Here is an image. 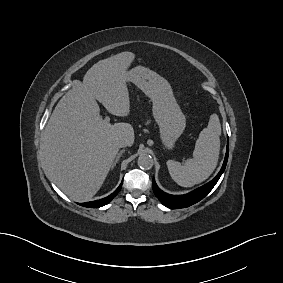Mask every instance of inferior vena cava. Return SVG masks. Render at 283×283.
I'll return each mask as SVG.
<instances>
[{"instance_id": "602c4592", "label": "inferior vena cava", "mask_w": 283, "mask_h": 283, "mask_svg": "<svg viewBox=\"0 0 283 283\" xmlns=\"http://www.w3.org/2000/svg\"><path fill=\"white\" fill-rule=\"evenodd\" d=\"M126 146H128V142L126 140H120L118 142V147L119 148L126 147Z\"/></svg>"}]
</instances>
